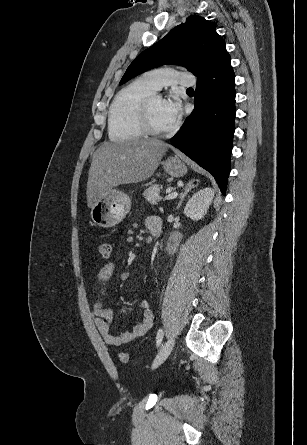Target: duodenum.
Instances as JSON below:
<instances>
[{
  "label": "duodenum",
  "instance_id": "410a0bca",
  "mask_svg": "<svg viewBox=\"0 0 307 445\" xmlns=\"http://www.w3.org/2000/svg\"><path fill=\"white\" fill-rule=\"evenodd\" d=\"M151 234H152L153 236H157V235L159 234V232H158V231H153Z\"/></svg>",
  "mask_w": 307,
  "mask_h": 445
}]
</instances>
